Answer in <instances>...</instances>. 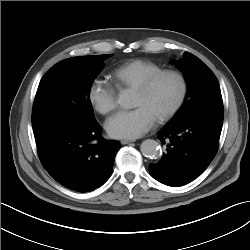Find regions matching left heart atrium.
Listing matches in <instances>:
<instances>
[{
  "label": "left heart atrium",
  "mask_w": 250,
  "mask_h": 250,
  "mask_svg": "<svg viewBox=\"0 0 250 250\" xmlns=\"http://www.w3.org/2000/svg\"><path fill=\"white\" fill-rule=\"evenodd\" d=\"M155 118L143 106L128 111H119L106 122L108 133L114 138L135 139L145 134Z\"/></svg>",
  "instance_id": "1"
}]
</instances>
